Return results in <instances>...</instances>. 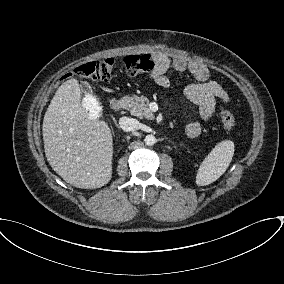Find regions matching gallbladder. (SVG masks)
Here are the masks:
<instances>
[{
	"mask_svg": "<svg viewBox=\"0 0 284 284\" xmlns=\"http://www.w3.org/2000/svg\"><path fill=\"white\" fill-rule=\"evenodd\" d=\"M83 88H84V90H85L86 92H88V93L91 92V88H90V86H89L88 84H84V85H83Z\"/></svg>",
	"mask_w": 284,
	"mask_h": 284,
	"instance_id": "gallbladder-1",
	"label": "gallbladder"
}]
</instances>
